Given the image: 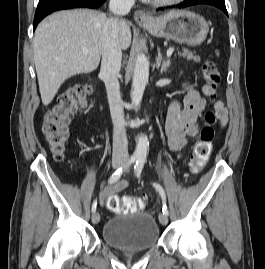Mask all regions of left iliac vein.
I'll return each instance as SVG.
<instances>
[{
  "label": "left iliac vein",
  "mask_w": 265,
  "mask_h": 269,
  "mask_svg": "<svg viewBox=\"0 0 265 269\" xmlns=\"http://www.w3.org/2000/svg\"><path fill=\"white\" fill-rule=\"evenodd\" d=\"M159 221H160V223H161L162 225H167V223H168L167 215L161 213V214L159 215Z\"/></svg>",
  "instance_id": "obj_1"
}]
</instances>
